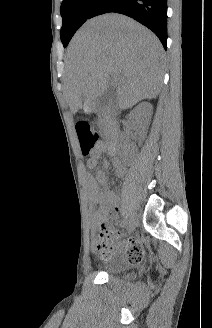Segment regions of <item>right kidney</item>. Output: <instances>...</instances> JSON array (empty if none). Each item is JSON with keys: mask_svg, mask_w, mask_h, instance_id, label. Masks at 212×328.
Here are the masks:
<instances>
[{"mask_svg": "<svg viewBox=\"0 0 212 328\" xmlns=\"http://www.w3.org/2000/svg\"><path fill=\"white\" fill-rule=\"evenodd\" d=\"M153 114V106L148 102L137 105L128 115L130 123L134 126L141 138H144Z\"/></svg>", "mask_w": 212, "mask_h": 328, "instance_id": "right-kidney-1", "label": "right kidney"}]
</instances>
